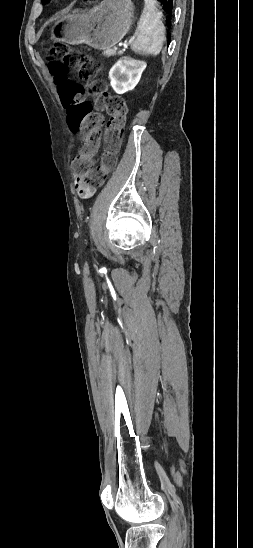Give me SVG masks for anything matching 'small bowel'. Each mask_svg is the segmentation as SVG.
<instances>
[{"label": "small bowel", "instance_id": "obj_1", "mask_svg": "<svg viewBox=\"0 0 253 548\" xmlns=\"http://www.w3.org/2000/svg\"><path fill=\"white\" fill-rule=\"evenodd\" d=\"M74 185L79 196L85 199L93 196L96 191V187L87 184L85 179L79 175L75 176Z\"/></svg>", "mask_w": 253, "mask_h": 548}]
</instances>
